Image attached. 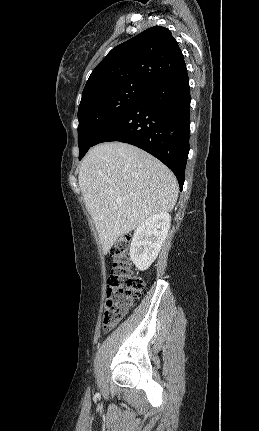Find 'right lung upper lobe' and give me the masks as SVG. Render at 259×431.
Here are the masks:
<instances>
[{"label": "right lung upper lobe", "mask_w": 259, "mask_h": 431, "mask_svg": "<svg viewBox=\"0 0 259 431\" xmlns=\"http://www.w3.org/2000/svg\"><path fill=\"white\" fill-rule=\"evenodd\" d=\"M185 70L183 54L170 30L154 26L108 53L91 73L81 101L124 85L149 89Z\"/></svg>", "instance_id": "cb5924a9"}]
</instances>
